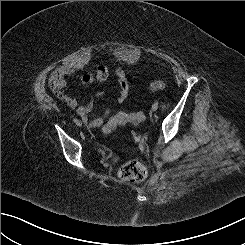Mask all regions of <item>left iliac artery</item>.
Listing matches in <instances>:
<instances>
[{"mask_svg": "<svg viewBox=\"0 0 245 245\" xmlns=\"http://www.w3.org/2000/svg\"><path fill=\"white\" fill-rule=\"evenodd\" d=\"M154 104H157V105H158V104H159V102H158V101H155V103H154Z\"/></svg>", "mask_w": 245, "mask_h": 245, "instance_id": "obj_1", "label": "left iliac artery"}]
</instances>
